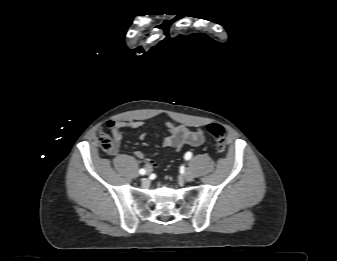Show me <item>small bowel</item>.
<instances>
[{"label": "small bowel", "mask_w": 337, "mask_h": 261, "mask_svg": "<svg viewBox=\"0 0 337 261\" xmlns=\"http://www.w3.org/2000/svg\"><path fill=\"white\" fill-rule=\"evenodd\" d=\"M144 125L143 121H119V120H109L106 123L107 128L112 132L114 137L115 148L113 152H117L124 130L125 129H137ZM168 129V135L163 139L162 145L165 148L180 149L184 145L190 146H200L205 140L204 131L201 128H196L195 130L190 129L185 125H175L171 122L166 124ZM147 138L146 134H141L140 139L145 140ZM135 156L138 159L145 160L146 169L152 171L153 168L158 166V163L153 159L146 158L143 151L137 150Z\"/></svg>", "instance_id": "1"}]
</instances>
